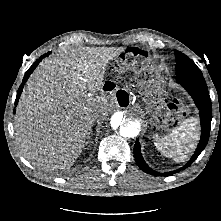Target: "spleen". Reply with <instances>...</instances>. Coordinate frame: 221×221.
Here are the masks:
<instances>
[{"mask_svg":"<svg viewBox=\"0 0 221 221\" xmlns=\"http://www.w3.org/2000/svg\"><path fill=\"white\" fill-rule=\"evenodd\" d=\"M197 124L196 118L186 119L168 135L156 137L154 144L165 157L183 161L199 138Z\"/></svg>","mask_w":221,"mask_h":221,"instance_id":"spleen-1","label":"spleen"}]
</instances>
